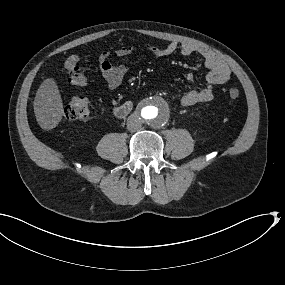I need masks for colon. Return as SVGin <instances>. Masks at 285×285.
<instances>
[{"label":"colon","mask_w":285,"mask_h":285,"mask_svg":"<svg viewBox=\"0 0 285 285\" xmlns=\"http://www.w3.org/2000/svg\"><path fill=\"white\" fill-rule=\"evenodd\" d=\"M79 56L73 54L65 61V67L68 71L69 81L75 85H84L86 83V75L84 70L78 65ZM231 99H237L240 92L237 88H231L228 91ZM65 116L71 120H86L90 117V102L83 96L73 97L65 107Z\"/></svg>","instance_id":"obj_1"}]
</instances>
